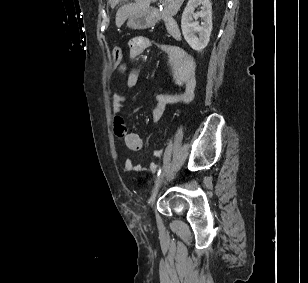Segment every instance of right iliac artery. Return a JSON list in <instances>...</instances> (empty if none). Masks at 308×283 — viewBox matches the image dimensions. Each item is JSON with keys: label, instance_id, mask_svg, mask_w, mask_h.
Here are the masks:
<instances>
[{"label": "right iliac artery", "instance_id": "82829eb1", "mask_svg": "<svg viewBox=\"0 0 308 283\" xmlns=\"http://www.w3.org/2000/svg\"><path fill=\"white\" fill-rule=\"evenodd\" d=\"M160 173H161V168L157 172V177L160 175Z\"/></svg>", "mask_w": 308, "mask_h": 283}]
</instances>
